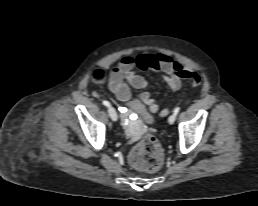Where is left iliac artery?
Returning <instances> with one entry per match:
<instances>
[{"label": "left iliac artery", "mask_w": 258, "mask_h": 206, "mask_svg": "<svg viewBox=\"0 0 258 206\" xmlns=\"http://www.w3.org/2000/svg\"><path fill=\"white\" fill-rule=\"evenodd\" d=\"M179 111H180V108L176 107L173 112H174L175 115H177L179 113Z\"/></svg>", "instance_id": "44dca946"}]
</instances>
